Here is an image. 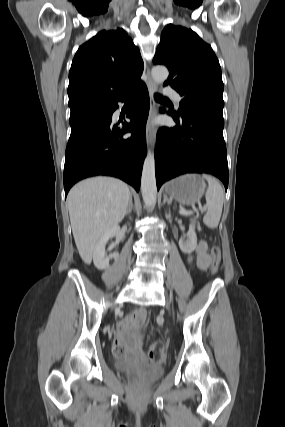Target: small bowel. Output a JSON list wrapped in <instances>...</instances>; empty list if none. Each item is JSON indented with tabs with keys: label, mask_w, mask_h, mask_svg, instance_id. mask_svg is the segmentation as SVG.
Segmentation results:
<instances>
[{
	"label": "small bowel",
	"mask_w": 285,
	"mask_h": 427,
	"mask_svg": "<svg viewBox=\"0 0 285 427\" xmlns=\"http://www.w3.org/2000/svg\"><path fill=\"white\" fill-rule=\"evenodd\" d=\"M189 265L197 266L199 269L206 270L211 264V257L207 253V244L201 240L197 244L196 253L188 258ZM146 310L137 308L129 313L119 326L118 340L125 347V357L127 359L144 358L142 347L143 338L138 334V329L144 324Z\"/></svg>",
	"instance_id": "obj_1"
}]
</instances>
